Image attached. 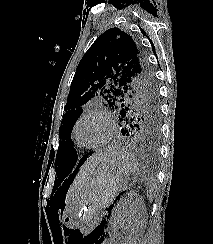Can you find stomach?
Segmentation results:
<instances>
[{
    "label": "stomach",
    "instance_id": "1",
    "mask_svg": "<svg viewBox=\"0 0 213 244\" xmlns=\"http://www.w3.org/2000/svg\"><path fill=\"white\" fill-rule=\"evenodd\" d=\"M120 153V149H105L107 158L97 164L77 189L62 214V222L68 228H81L90 223L123 190L129 172L123 167Z\"/></svg>",
    "mask_w": 213,
    "mask_h": 244
}]
</instances>
